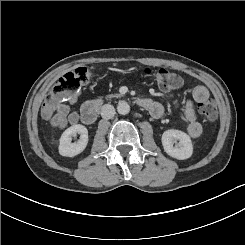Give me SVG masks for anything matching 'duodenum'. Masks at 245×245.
Wrapping results in <instances>:
<instances>
[{
  "label": "duodenum",
  "instance_id": "duodenum-1",
  "mask_svg": "<svg viewBox=\"0 0 245 245\" xmlns=\"http://www.w3.org/2000/svg\"><path fill=\"white\" fill-rule=\"evenodd\" d=\"M137 103L146 109L152 106V102L149 99H138ZM101 105L102 100L100 99L85 103L80 112L82 122L85 124H93L99 115Z\"/></svg>",
  "mask_w": 245,
  "mask_h": 245
}]
</instances>
